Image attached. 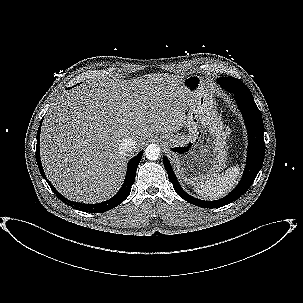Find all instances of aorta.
<instances>
[{"mask_svg":"<svg viewBox=\"0 0 303 303\" xmlns=\"http://www.w3.org/2000/svg\"><path fill=\"white\" fill-rule=\"evenodd\" d=\"M160 147L157 144H150L145 149V156L148 160L154 161L160 157Z\"/></svg>","mask_w":303,"mask_h":303,"instance_id":"1","label":"aorta"}]
</instances>
